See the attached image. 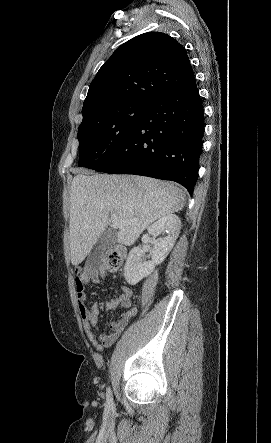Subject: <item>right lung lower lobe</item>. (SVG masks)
Here are the masks:
<instances>
[{"mask_svg":"<svg viewBox=\"0 0 271 443\" xmlns=\"http://www.w3.org/2000/svg\"><path fill=\"white\" fill-rule=\"evenodd\" d=\"M203 118L196 82L156 98L113 156L95 170L171 180L192 194L202 152Z\"/></svg>","mask_w":271,"mask_h":443,"instance_id":"obj_1","label":"right lung lower lobe"}]
</instances>
